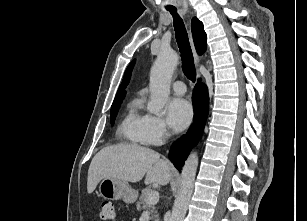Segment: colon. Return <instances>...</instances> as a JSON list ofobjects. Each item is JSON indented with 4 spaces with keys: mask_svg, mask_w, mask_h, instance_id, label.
Wrapping results in <instances>:
<instances>
[{
    "mask_svg": "<svg viewBox=\"0 0 307 221\" xmlns=\"http://www.w3.org/2000/svg\"><path fill=\"white\" fill-rule=\"evenodd\" d=\"M98 216L101 221L113 220L116 216L113 204L109 201H102Z\"/></svg>",
    "mask_w": 307,
    "mask_h": 221,
    "instance_id": "1",
    "label": "colon"
}]
</instances>
